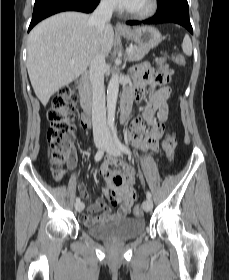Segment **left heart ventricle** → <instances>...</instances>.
<instances>
[{"instance_id": "1", "label": "left heart ventricle", "mask_w": 229, "mask_h": 280, "mask_svg": "<svg viewBox=\"0 0 229 280\" xmlns=\"http://www.w3.org/2000/svg\"><path fill=\"white\" fill-rule=\"evenodd\" d=\"M148 0H134L128 9L142 10L147 6Z\"/></svg>"}]
</instances>
